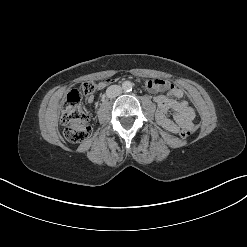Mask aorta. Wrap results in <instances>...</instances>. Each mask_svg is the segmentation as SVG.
<instances>
[{"mask_svg":"<svg viewBox=\"0 0 247 247\" xmlns=\"http://www.w3.org/2000/svg\"><path fill=\"white\" fill-rule=\"evenodd\" d=\"M122 89L124 91H131L132 90V83L130 81H124L122 83Z\"/></svg>","mask_w":247,"mask_h":247,"instance_id":"aorta-1","label":"aorta"}]
</instances>
